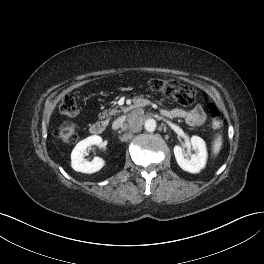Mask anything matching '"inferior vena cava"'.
<instances>
[{
	"label": "inferior vena cava",
	"mask_w": 264,
	"mask_h": 264,
	"mask_svg": "<svg viewBox=\"0 0 264 264\" xmlns=\"http://www.w3.org/2000/svg\"><path fill=\"white\" fill-rule=\"evenodd\" d=\"M124 119L123 118H119L116 121L113 122L112 124V128L113 129H118L119 127H122L123 123H124Z\"/></svg>",
	"instance_id": "1"
}]
</instances>
